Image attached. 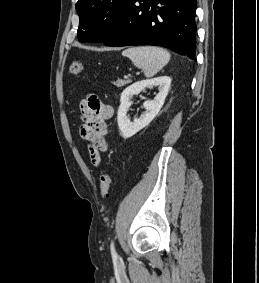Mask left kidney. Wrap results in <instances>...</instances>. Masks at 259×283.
I'll use <instances>...</instances> for the list:
<instances>
[{"mask_svg": "<svg viewBox=\"0 0 259 283\" xmlns=\"http://www.w3.org/2000/svg\"><path fill=\"white\" fill-rule=\"evenodd\" d=\"M171 79L168 76L157 77L138 81L127 87L121 94L120 106L118 109L117 122L121 136L128 139L139 132L141 129L149 125V123L157 116L161 107L164 104L165 98L170 89ZM157 86L159 89L158 94L152 101H146L144 107L146 112L140 118L130 121L127 112L132 102L133 95H138L145 88Z\"/></svg>", "mask_w": 259, "mask_h": 283, "instance_id": "left-kidney-1", "label": "left kidney"}]
</instances>
